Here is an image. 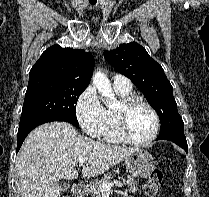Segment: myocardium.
<instances>
[{
    "label": "myocardium",
    "instance_id": "1",
    "mask_svg": "<svg viewBox=\"0 0 209 197\" xmlns=\"http://www.w3.org/2000/svg\"><path fill=\"white\" fill-rule=\"evenodd\" d=\"M137 104H142L146 106L152 113L154 117V128L149 138L146 140H136L134 139L128 130V123H127V115L128 112ZM116 118H117V127L122 137L123 141L134 145V146H148L152 144L158 136L160 130V116L154 106L148 102L146 99L140 96L131 95L129 98L124 99L119 108L116 110Z\"/></svg>",
    "mask_w": 209,
    "mask_h": 197
}]
</instances>
